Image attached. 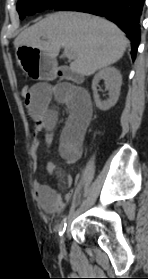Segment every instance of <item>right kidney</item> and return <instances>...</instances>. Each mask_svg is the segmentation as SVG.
Segmentation results:
<instances>
[{"label": "right kidney", "mask_w": 148, "mask_h": 279, "mask_svg": "<svg viewBox=\"0 0 148 279\" xmlns=\"http://www.w3.org/2000/svg\"><path fill=\"white\" fill-rule=\"evenodd\" d=\"M102 79L105 81L106 89L109 91V99L106 101L100 100L97 91L98 83ZM121 85L122 77L118 69L115 67H105L100 70L92 81L93 97L96 106L102 111H107L113 107L118 101Z\"/></svg>", "instance_id": "right-kidney-1"}]
</instances>
